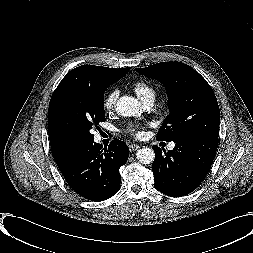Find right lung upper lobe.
Segmentation results:
<instances>
[{"label":"right lung upper lobe","mask_w":253,"mask_h":253,"mask_svg":"<svg viewBox=\"0 0 253 253\" xmlns=\"http://www.w3.org/2000/svg\"><path fill=\"white\" fill-rule=\"evenodd\" d=\"M129 70L130 67L116 69L94 65H82L68 72L66 76L62 79V81L59 83L58 87L52 95L49 104L48 131L52 154L60 171H63L72 162V160L82 148V146L75 145L63 140L54 129L50 117V108L52 104H54L56 98L60 94L66 92L74 83L80 80L103 81L113 79L118 81Z\"/></svg>","instance_id":"right-lung-upper-lobe-1"}]
</instances>
